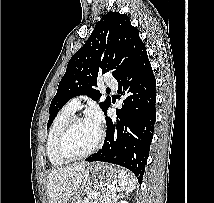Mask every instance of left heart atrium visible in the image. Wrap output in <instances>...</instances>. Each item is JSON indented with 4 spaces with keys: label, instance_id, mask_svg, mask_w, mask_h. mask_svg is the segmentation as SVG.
Masks as SVG:
<instances>
[{
    "label": "left heart atrium",
    "instance_id": "39dd6f15",
    "mask_svg": "<svg viewBox=\"0 0 214 203\" xmlns=\"http://www.w3.org/2000/svg\"><path fill=\"white\" fill-rule=\"evenodd\" d=\"M87 120H89L91 123H93L95 126L99 128L103 120L102 114L99 111V109L98 108L90 109V111L88 112Z\"/></svg>",
    "mask_w": 214,
    "mask_h": 203
}]
</instances>
